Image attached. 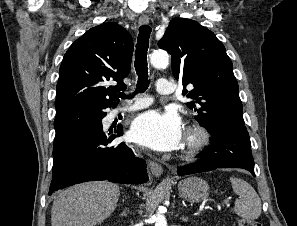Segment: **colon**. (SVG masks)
Instances as JSON below:
<instances>
[{"mask_svg": "<svg viewBox=\"0 0 297 226\" xmlns=\"http://www.w3.org/2000/svg\"><path fill=\"white\" fill-rule=\"evenodd\" d=\"M238 226H262L260 222L241 218L238 220Z\"/></svg>", "mask_w": 297, "mask_h": 226, "instance_id": "colon-1", "label": "colon"}]
</instances>
